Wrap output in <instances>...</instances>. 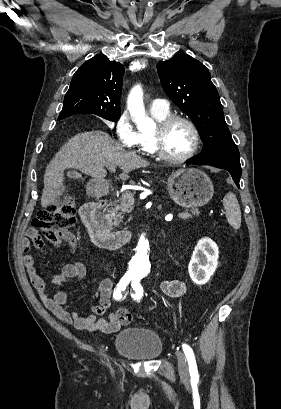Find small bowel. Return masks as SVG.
<instances>
[{
  "instance_id": "c3829d8e",
  "label": "small bowel",
  "mask_w": 281,
  "mask_h": 409,
  "mask_svg": "<svg viewBox=\"0 0 281 409\" xmlns=\"http://www.w3.org/2000/svg\"><path fill=\"white\" fill-rule=\"evenodd\" d=\"M31 242L37 252L45 251V244L42 242V239L39 238L37 231L35 229H29L26 238L22 242V248L25 252L23 262L40 300L54 315L77 329L106 334L116 333L120 331L124 325L128 324L117 318V312H128L124 306H120L107 317H104L111 306L112 296L116 288V281L114 279L102 280L98 287L90 293V298L97 299L98 304L89 306L85 313H79L68 306L69 297L66 292L60 291L53 296L49 295L45 281L36 271L34 257L27 253L31 247ZM101 266L105 270L110 271V268L106 264L101 263ZM84 275L85 266L83 262L76 261L75 263L64 265L59 273L53 275L51 282L53 285L60 286L70 281H79ZM160 288L165 295L173 298L181 297L186 292L185 283L179 279L164 280Z\"/></svg>"
}]
</instances>
